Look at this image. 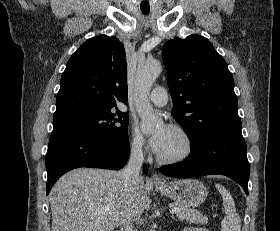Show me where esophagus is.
<instances>
[{"label": "esophagus", "instance_id": "34e87169", "mask_svg": "<svg viewBox=\"0 0 280 231\" xmlns=\"http://www.w3.org/2000/svg\"><path fill=\"white\" fill-rule=\"evenodd\" d=\"M165 178L163 176H160L157 173H154L151 177V181H163Z\"/></svg>", "mask_w": 280, "mask_h": 231}]
</instances>
